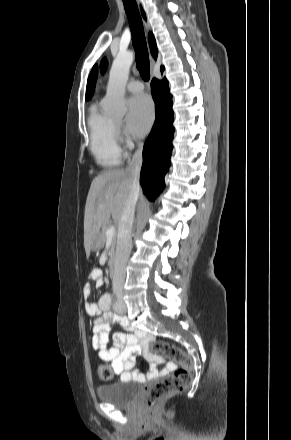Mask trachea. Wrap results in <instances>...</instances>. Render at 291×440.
Listing matches in <instances>:
<instances>
[{
	"instance_id": "obj_1",
	"label": "trachea",
	"mask_w": 291,
	"mask_h": 440,
	"mask_svg": "<svg viewBox=\"0 0 291 440\" xmlns=\"http://www.w3.org/2000/svg\"><path fill=\"white\" fill-rule=\"evenodd\" d=\"M123 3L130 24L136 66L141 77L148 81L150 79L149 55L139 10L135 0H123Z\"/></svg>"
}]
</instances>
